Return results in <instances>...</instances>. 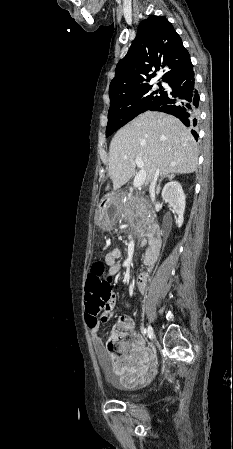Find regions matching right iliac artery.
Listing matches in <instances>:
<instances>
[{
  "instance_id": "obj_1",
  "label": "right iliac artery",
  "mask_w": 233,
  "mask_h": 449,
  "mask_svg": "<svg viewBox=\"0 0 233 449\" xmlns=\"http://www.w3.org/2000/svg\"><path fill=\"white\" fill-rule=\"evenodd\" d=\"M147 332H148V336H149V338H150L149 330L147 331L146 328H143V330H142L143 335H146Z\"/></svg>"
}]
</instances>
